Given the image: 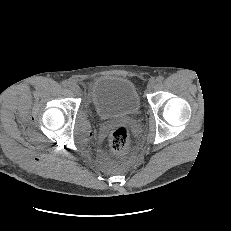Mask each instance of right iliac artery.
I'll use <instances>...</instances> for the list:
<instances>
[{
    "instance_id": "82829eb1",
    "label": "right iliac artery",
    "mask_w": 231,
    "mask_h": 231,
    "mask_svg": "<svg viewBox=\"0 0 231 231\" xmlns=\"http://www.w3.org/2000/svg\"><path fill=\"white\" fill-rule=\"evenodd\" d=\"M62 85H63L64 87H67V86H69V82L65 80V81L62 82Z\"/></svg>"
}]
</instances>
